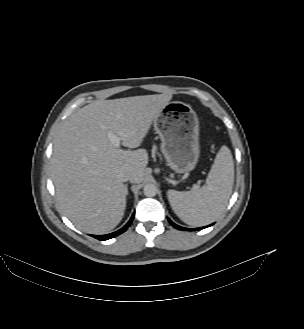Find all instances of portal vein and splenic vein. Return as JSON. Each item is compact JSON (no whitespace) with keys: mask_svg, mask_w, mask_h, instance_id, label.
I'll list each match as a JSON object with an SVG mask.
<instances>
[{"mask_svg":"<svg viewBox=\"0 0 304 329\" xmlns=\"http://www.w3.org/2000/svg\"><path fill=\"white\" fill-rule=\"evenodd\" d=\"M108 138L111 141V143L113 144V146H115L117 148L120 146V141L122 140L121 137H119L118 135H116L114 133H109Z\"/></svg>","mask_w":304,"mask_h":329,"instance_id":"obj_1","label":"portal vein and splenic vein"}]
</instances>
